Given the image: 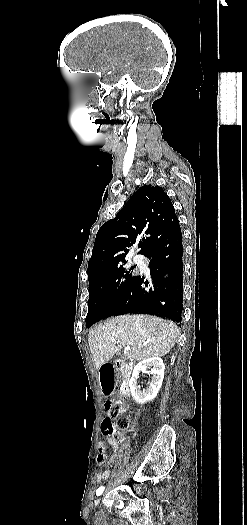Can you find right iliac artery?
Here are the masks:
<instances>
[{
  "label": "right iliac artery",
  "instance_id": "82829eb1",
  "mask_svg": "<svg viewBox=\"0 0 247 525\" xmlns=\"http://www.w3.org/2000/svg\"><path fill=\"white\" fill-rule=\"evenodd\" d=\"M105 487L101 486L99 487L97 490H96V495L99 496L103 491H104Z\"/></svg>",
  "mask_w": 247,
  "mask_h": 525
}]
</instances>
